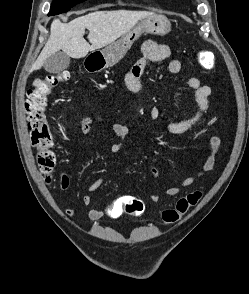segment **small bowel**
<instances>
[{
    "label": "small bowel",
    "instance_id": "1",
    "mask_svg": "<svg viewBox=\"0 0 249 294\" xmlns=\"http://www.w3.org/2000/svg\"><path fill=\"white\" fill-rule=\"evenodd\" d=\"M142 57L132 66L129 70L126 81L131 90L137 91L141 89L140 78L150 63L160 64L166 59L172 56V50L168 45L158 44L154 41H146L141 46ZM183 70L181 61L178 59H173L169 63V71L172 74H179ZM188 86L194 91L196 110L188 118L179 121H168L166 124L167 130L176 135L185 134L192 130L202 119V117L209 110V96L211 95V88L207 85H203L198 78L190 77L187 81ZM149 117L152 120H158L161 117V110L157 106H152L149 109ZM80 130L83 135L90 136L94 133L93 120L89 117L82 119L80 123ZM111 132L116 137L117 142H115L111 147L110 151L112 153H118L121 150L122 142L130 135V130L122 124H113L111 126ZM221 141L218 137L212 136L209 139V151L206 157L205 163L202 169L198 172L192 173L191 175L184 178L178 185L170 187L166 190L168 196H175L183 188L192 185L197 179L203 177L206 173L211 172L214 169L216 159L219 153ZM151 175L153 178L157 179L159 176V170L156 166L151 168ZM105 179L99 178L92 182L88 186L89 193L98 191L104 185ZM69 178L64 175L61 178L60 187L62 191H66L69 188ZM150 200L154 203L158 202L159 194L154 193L151 195ZM82 202L84 205H90L92 202V196L90 194H85L82 197ZM108 205L105 208L96 207L91 208L87 216L91 221L100 220L104 216L110 218H117L111 215L110 208ZM76 213V208L69 207L65 210V214L68 217H73Z\"/></svg>",
    "mask_w": 249,
    "mask_h": 294
}]
</instances>
